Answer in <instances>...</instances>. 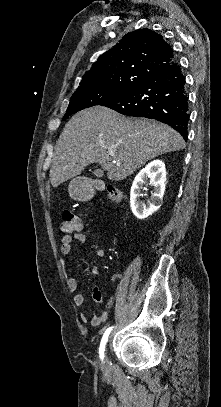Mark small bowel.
<instances>
[{
	"label": "small bowel",
	"instance_id": "1",
	"mask_svg": "<svg viewBox=\"0 0 221 407\" xmlns=\"http://www.w3.org/2000/svg\"><path fill=\"white\" fill-rule=\"evenodd\" d=\"M73 240H76L84 245L89 246L93 252L96 254L97 257L103 258L105 256V251L102 247L97 244L89 243L86 235L83 233H76L73 237L72 236H64L61 239L60 250L62 255L70 256L72 254V244ZM86 269L93 275H98L99 270L96 266H88ZM118 275L113 276V280L117 279ZM66 286L68 290L73 293V304L77 307H80L85 302V295L83 293H76L78 283L74 277H67L66 278ZM92 298L95 304H101L103 302V295L98 287H94L92 292ZM110 306V304L108 305ZM81 321L83 323H88L92 325H100L106 319V314L101 312L100 314L90 317L85 313L80 314Z\"/></svg>",
	"mask_w": 221,
	"mask_h": 407
}]
</instances>
